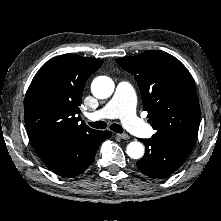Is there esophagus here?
I'll use <instances>...</instances> for the list:
<instances>
[{
    "label": "esophagus",
    "instance_id": "obj_1",
    "mask_svg": "<svg viewBox=\"0 0 221 221\" xmlns=\"http://www.w3.org/2000/svg\"><path fill=\"white\" fill-rule=\"evenodd\" d=\"M117 136L121 139H124V140H127L130 138V136L126 133H120V134H117Z\"/></svg>",
    "mask_w": 221,
    "mask_h": 221
}]
</instances>
